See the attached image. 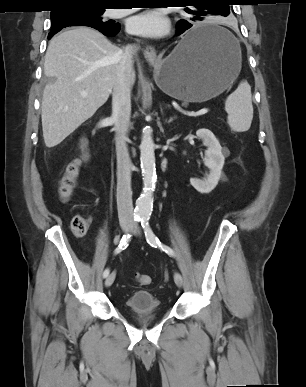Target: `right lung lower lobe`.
<instances>
[{"label":"right lung lower lobe","instance_id":"1","mask_svg":"<svg viewBox=\"0 0 306 387\" xmlns=\"http://www.w3.org/2000/svg\"><path fill=\"white\" fill-rule=\"evenodd\" d=\"M97 30H99L100 32H102L104 35L106 36H109V37H112V36H115L119 30H120V25H116V26H113V27H99V28H96ZM51 34H56L55 32H51ZM53 35H48V39H50Z\"/></svg>","mask_w":306,"mask_h":387}]
</instances>
